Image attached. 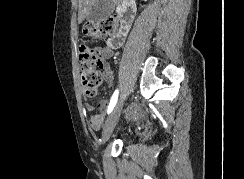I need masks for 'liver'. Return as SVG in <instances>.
<instances>
[{"label": "liver", "mask_w": 244, "mask_h": 179, "mask_svg": "<svg viewBox=\"0 0 244 179\" xmlns=\"http://www.w3.org/2000/svg\"><path fill=\"white\" fill-rule=\"evenodd\" d=\"M94 2L95 0H79L78 24H81L87 18L88 14H90ZM112 2L114 6H117L122 0H112Z\"/></svg>", "instance_id": "1"}]
</instances>
